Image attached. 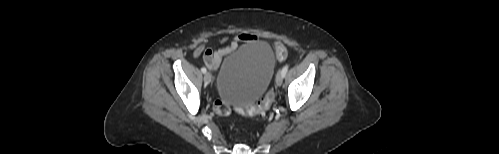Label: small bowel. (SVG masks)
I'll return each instance as SVG.
<instances>
[{
    "label": "small bowel",
    "instance_id": "obj_1",
    "mask_svg": "<svg viewBox=\"0 0 499 154\" xmlns=\"http://www.w3.org/2000/svg\"><path fill=\"white\" fill-rule=\"evenodd\" d=\"M255 40H257V37L250 33H240L233 38L224 36L220 40V44H222L223 46L214 52L212 51L211 58L208 60L204 59L205 64L211 70H217L222 61V58L235 51L241 42H252Z\"/></svg>",
    "mask_w": 499,
    "mask_h": 154
}]
</instances>
